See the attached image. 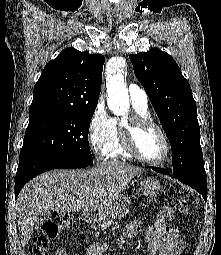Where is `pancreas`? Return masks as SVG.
<instances>
[{"label":"pancreas","mask_w":221,"mask_h":255,"mask_svg":"<svg viewBox=\"0 0 221 255\" xmlns=\"http://www.w3.org/2000/svg\"><path fill=\"white\" fill-rule=\"evenodd\" d=\"M128 213V212H127ZM111 224H113L112 220L107 219L106 221H103V224L101 225L103 228H107L108 226H110Z\"/></svg>","instance_id":"obj_1"}]
</instances>
